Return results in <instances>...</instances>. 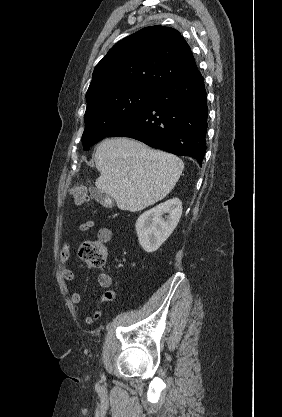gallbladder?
Returning <instances> with one entry per match:
<instances>
[{
    "label": "gallbladder",
    "instance_id": "1",
    "mask_svg": "<svg viewBox=\"0 0 282 417\" xmlns=\"http://www.w3.org/2000/svg\"><path fill=\"white\" fill-rule=\"evenodd\" d=\"M89 192L97 202H101V204H104L106 206L107 202L110 200V196L108 194H105L103 190H100V188H96V186H89Z\"/></svg>",
    "mask_w": 282,
    "mask_h": 417
}]
</instances>
